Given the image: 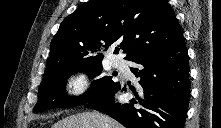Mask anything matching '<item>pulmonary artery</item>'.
Instances as JSON below:
<instances>
[{"label": "pulmonary artery", "instance_id": "pulmonary-artery-1", "mask_svg": "<svg viewBox=\"0 0 221 128\" xmlns=\"http://www.w3.org/2000/svg\"><path fill=\"white\" fill-rule=\"evenodd\" d=\"M115 65L119 69H123L125 67L124 62L122 60H116Z\"/></svg>", "mask_w": 221, "mask_h": 128}]
</instances>
